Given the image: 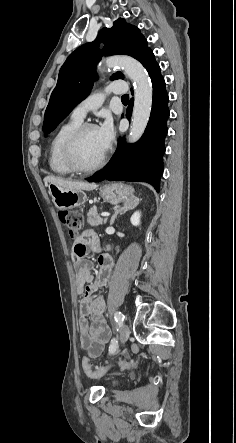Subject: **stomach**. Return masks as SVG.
Instances as JSON below:
<instances>
[{"instance_id": "obj_1", "label": "stomach", "mask_w": 236, "mask_h": 443, "mask_svg": "<svg viewBox=\"0 0 236 443\" xmlns=\"http://www.w3.org/2000/svg\"><path fill=\"white\" fill-rule=\"evenodd\" d=\"M48 189L54 205L59 210L77 208L86 202L83 190H71L54 184H50ZM100 194L106 202L119 204L133 195V188L122 183H112L101 188Z\"/></svg>"}]
</instances>
